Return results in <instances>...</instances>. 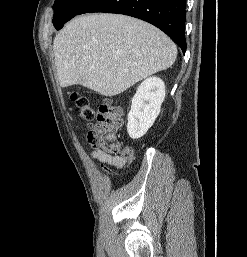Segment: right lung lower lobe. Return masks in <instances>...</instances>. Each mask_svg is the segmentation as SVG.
Masks as SVG:
<instances>
[{"label": "right lung lower lobe", "mask_w": 247, "mask_h": 257, "mask_svg": "<svg viewBox=\"0 0 247 257\" xmlns=\"http://www.w3.org/2000/svg\"><path fill=\"white\" fill-rule=\"evenodd\" d=\"M186 0H92L78 14L118 13L142 19L165 32L185 53Z\"/></svg>", "instance_id": "98d812e1"}]
</instances>
